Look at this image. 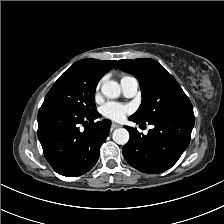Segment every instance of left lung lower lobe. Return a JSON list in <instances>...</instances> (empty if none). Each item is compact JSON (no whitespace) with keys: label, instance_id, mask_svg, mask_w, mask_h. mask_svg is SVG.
I'll return each instance as SVG.
<instances>
[{"label":"left lung lower lobe","instance_id":"0a47b994","mask_svg":"<svg viewBox=\"0 0 224 224\" xmlns=\"http://www.w3.org/2000/svg\"><path fill=\"white\" fill-rule=\"evenodd\" d=\"M129 120L142 123L132 117ZM194 122L195 117L191 114L159 119L149 123L154 128L147 135L139 133L136 128L125 126L130 139L123 147V156L141 172H164L178 161L187 148Z\"/></svg>","mask_w":224,"mask_h":224}]
</instances>
